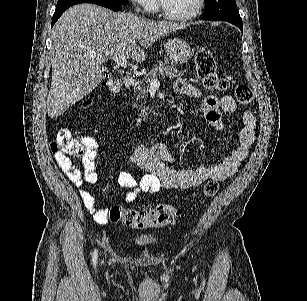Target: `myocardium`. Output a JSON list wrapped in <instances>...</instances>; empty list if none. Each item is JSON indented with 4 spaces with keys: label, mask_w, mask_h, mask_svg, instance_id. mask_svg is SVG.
Instances as JSON below:
<instances>
[{
    "label": "myocardium",
    "mask_w": 307,
    "mask_h": 301,
    "mask_svg": "<svg viewBox=\"0 0 307 301\" xmlns=\"http://www.w3.org/2000/svg\"><path fill=\"white\" fill-rule=\"evenodd\" d=\"M203 0H196L194 11H167L165 0H158L154 12L158 17L164 18V22H185L186 18H195L199 15Z\"/></svg>",
    "instance_id": "f54148a6"
}]
</instances>
